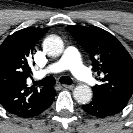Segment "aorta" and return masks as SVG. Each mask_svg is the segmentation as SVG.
<instances>
[{
  "label": "aorta",
  "instance_id": "762f6f07",
  "mask_svg": "<svg viewBox=\"0 0 133 133\" xmlns=\"http://www.w3.org/2000/svg\"><path fill=\"white\" fill-rule=\"evenodd\" d=\"M43 49L48 55L59 56L64 50V44L60 37L51 35L43 41ZM73 97L78 103L86 104L92 98V90L86 84L77 85L73 91Z\"/></svg>",
  "mask_w": 133,
  "mask_h": 133
}]
</instances>
